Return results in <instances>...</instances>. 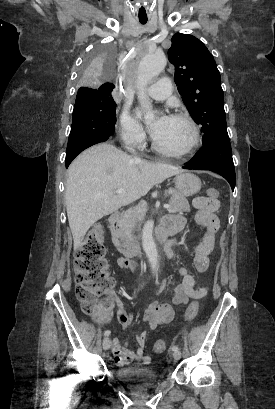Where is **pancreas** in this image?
<instances>
[{"mask_svg":"<svg viewBox=\"0 0 275 409\" xmlns=\"http://www.w3.org/2000/svg\"><path fill=\"white\" fill-rule=\"evenodd\" d=\"M165 194H171L170 198V209H168L169 213H182V211H190L189 202L187 198H185L184 194L178 192L176 188H168L165 190ZM145 213H147V209L145 205H140L135 209V215L137 217V221H143L145 217ZM120 229H123L127 235H130L132 231V225L128 219V215H125L124 219L120 221Z\"/></svg>","mask_w":275,"mask_h":409,"instance_id":"obj_1","label":"pancreas"}]
</instances>
